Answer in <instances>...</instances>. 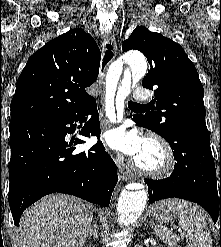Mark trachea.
<instances>
[{"mask_svg": "<svg viewBox=\"0 0 221 247\" xmlns=\"http://www.w3.org/2000/svg\"><path fill=\"white\" fill-rule=\"evenodd\" d=\"M128 106L133 109V110H138V109H147L148 106L147 105H141V104H138L136 102H133V101H129L128 102Z\"/></svg>", "mask_w": 221, "mask_h": 247, "instance_id": "obj_1", "label": "trachea"}]
</instances>
